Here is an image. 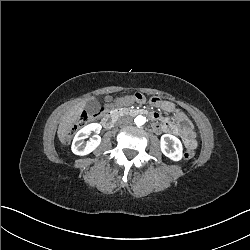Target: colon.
Listing matches in <instances>:
<instances>
[{
    "instance_id": "5ec220e1",
    "label": "colon",
    "mask_w": 250,
    "mask_h": 250,
    "mask_svg": "<svg viewBox=\"0 0 250 250\" xmlns=\"http://www.w3.org/2000/svg\"><path fill=\"white\" fill-rule=\"evenodd\" d=\"M133 99L137 102H145L146 101V96L143 93H136L133 96ZM150 105H161V99L159 95H152L151 100H150ZM105 111L104 107H100L97 105H93L89 108L87 112H80L77 115V119L75 120V127L76 128H81L82 126H86L94 121H96ZM76 129L75 128H70L69 131L66 133V139L63 140V145L64 146H69L70 145V139L73 138V136L76 134ZM186 145H187V150L183 153L182 157L183 159H189L192 158L195 155V148L197 146L196 140L192 139L191 137H188L186 139Z\"/></svg>"
}]
</instances>
